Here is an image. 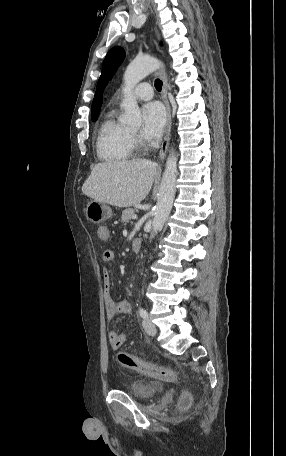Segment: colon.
<instances>
[{"label": "colon", "instance_id": "colon-1", "mask_svg": "<svg viewBox=\"0 0 286 456\" xmlns=\"http://www.w3.org/2000/svg\"><path fill=\"white\" fill-rule=\"evenodd\" d=\"M117 357L123 366L133 369L145 376L169 383H174L177 380L175 372L171 369L141 360L126 352H119ZM181 402L183 405H187L189 403V397L187 394L182 396Z\"/></svg>", "mask_w": 286, "mask_h": 456}]
</instances>
